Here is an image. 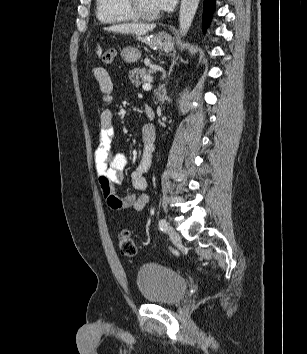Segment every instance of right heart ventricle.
Instances as JSON below:
<instances>
[{
	"label": "right heart ventricle",
	"mask_w": 307,
	"mask_h": 354,
	"mask_svg": "<svg viewBox=\"0 0 307 354\" xmlns=\"http://www.w3.org/2000/svg\"><path fill=\"white\" fill-rule=\"evenodd\" d=\"M96 16L104 24L134 20L127 10L124 0H96Z\"/></svg>",
	"instance_id": "e07e8e85"
}]
</instances>
